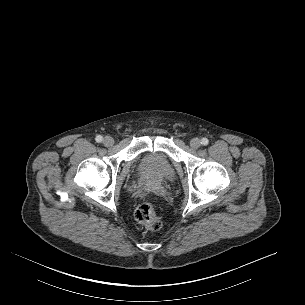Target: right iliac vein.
<instances>
[{
    "mask_svg": "<svg viewBox=\"0 0 305 305\" xmlns=\"http://www.w3.org/2000/svg\"><path fill=\"white\" fill-rule=\"evenodd\" d=\"M103 144L107 147L112 146L114 144V139L111 136H106L103 139Z\"/></svg>",
    "mask_w": 305,
    "mask_h": 305,
    "instance_id": "1",
    "label": "right iliac vein"
}]
</instances>
